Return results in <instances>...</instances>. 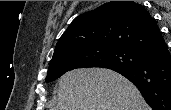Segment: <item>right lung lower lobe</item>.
<instances>
[{"label": "right lung lower lobe", "instance_id": "right-lung-lower-lobe-1", "mask_svg": "<svg viewBox=\"0 0 171 110\" xmlns=\"http://www.w3.org/2000/svg\"><path fill=\"white\" fill-rule=\"evenodd\" d=\"M143 55L138 65L113 70L128 78L153 110H171V55L167 44Z\"/></svg>", "mask_w": 171, "mask_h": 110}]
</instances>
